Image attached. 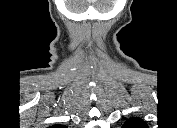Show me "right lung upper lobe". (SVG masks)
Wrapping results in <instances>:
<instances>
[{"label":"right lung upper lobe","mask_w":177,"mask_h":128,"mask_svg":"<svg viewBox=\"0 0 177 128\" xmlns=\"http://www.w3.org/2000/svg\"><path fill=\"white\" fill-rule=\"evenodd\" d=\"M53 127H55V128H61V127H63L62 125H55V126H53Z\"/></svg>","instance_id":"cb5924a9"}]
</instances>
